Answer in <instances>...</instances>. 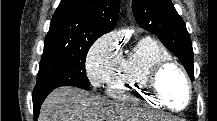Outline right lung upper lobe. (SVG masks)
Masks as SVG:
<instances>
[{
  "label": "right lung upper lobe",
  "mask_w": 217,
  "mask_h": 121,
  "mask_svg": "<svg viewBox=\"0 0 217 121\" xmlns=\"http://www.w3.org/2000/svg\"><path fill=\"white\" fill-rule=\"evenodd\" d=\"M120 0H61L46 37L97 40L115 27Z\"/></svg>",
  "instance_id": "right-lung-upper-lobe-1"
}]
</instances>
